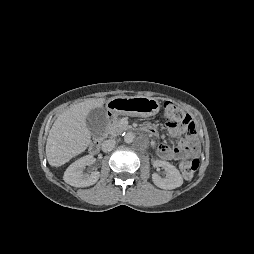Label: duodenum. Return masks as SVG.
I'll return each mask as SVG.
<instances>
[{
  "mask_svg": "<svg viewBox=\"0 0 254 254\" xmlns=\"http://www.w3.org/2000/svg\"><path fill=\"white\" fill-rule=\"evenodd\" d=\"M112 116H113L112 113L108 114V117H112ZM143 130H145V129H143ZM100 147H101L100 141L95 139L90 144L89 151H90L91 154L96 155V154H98L100 152Z\"/></svg>",
  "mask_w": 254,
  "mask_h": 254,
  "instance_id": "obj_1",
  "label": "duodenum"
}]
</instances>
